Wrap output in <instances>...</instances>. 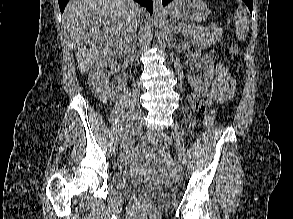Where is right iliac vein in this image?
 <instances>
[{"instance_id":"obj_1","label":"right iliac vein","mask_w":293,"mask_h":219,"mask_svg":"<svg viewBox=\"0 0 293 219\" xmlns=\"http://www.w3.org/2000/svg\"><path fill=\"white\" fill-rule=\"evenodd\" d=\"M141 127H142V117H138L131 125L127 134L122 138L120 145L121 146L127 145L132 140V138L140 132Z\"/></svg>"}]
</instances>
